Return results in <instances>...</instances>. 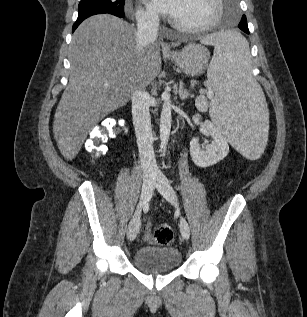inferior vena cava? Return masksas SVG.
<instances>
[{"label":"inferior vena cava","instance_id":"obj_1","mask_svg":"<svg viewBox=\"0 0 307 317\" xmlns=\"http://www.w3.org/2000/svg\"><path fill=\"white\" fill-rule=\"evenodd\" d=\"M159 18L155 14H143L137 17L136 50L144 47L157 38ZM133 125L143 175L145 178L158 173L154 149L151 118L149 112L150 95L142 88H136L131 94Z\"/></svg>","mask_w":307,"mask_h":317}]
</instances>
